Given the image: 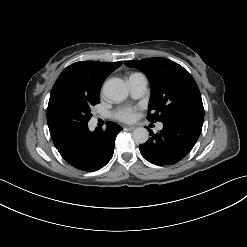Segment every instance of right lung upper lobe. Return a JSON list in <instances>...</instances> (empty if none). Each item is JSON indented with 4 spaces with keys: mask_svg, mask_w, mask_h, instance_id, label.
<instances>
[{
    "mask_svg": "<svg viewBox=\"0 0 247 247\" xmlns=\"http://www.w3.org/2000/svg\"><path fill=\"white\" fill-rule=\"evenodd\" d=\"M122 62H76L66 67L56 80L50 95L52 99L63 91H74L86 95L100 96L106 77ZM49 99V100H50Z\"/></svg>",
    "mask_w": 247,
    "mask_h": 247,
    "instance_id": "1",
    "label": "right lung upper lobe"
}]
</instances>
